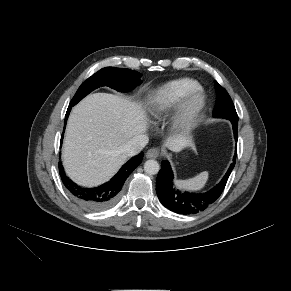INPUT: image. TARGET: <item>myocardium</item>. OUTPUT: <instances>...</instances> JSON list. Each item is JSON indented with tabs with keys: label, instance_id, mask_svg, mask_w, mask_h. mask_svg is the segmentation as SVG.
<instances>
[{
	"label": "myocardium",
	"instance_id": "f54148a6",
	"mask_svg": "<svg viewBox=\"0 0 291 291\" xmlns=\"http://www.w3.org/2000/svg\"><path fill=\"white\" fill-rule=\"evenodd\" d=\"M207 105V96L204 90L199 87L191 91L178 105L173 122L180 130H187L193 127Z\"/></svg>",
	"mask_w": 291,
	"mask_h": 291
}]
</instances>
